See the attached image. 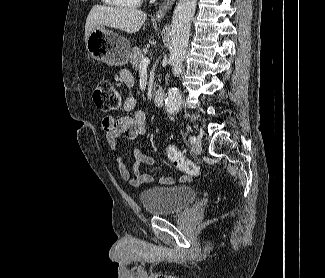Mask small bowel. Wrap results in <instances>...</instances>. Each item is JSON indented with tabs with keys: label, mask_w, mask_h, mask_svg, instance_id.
Returning a JSON list of instances; mask_svg holds the SVG:
<instances>
[{
	"label": "small bowel",
	"mask_w": 325,
	"mask_h": 278,
	"mask_svg": "<svg viewBox=\"0 0 325 278\" xmlns=\"http://www.w3.org/2000/svg\"><path fill=\"white\" fill-rule=\"evenodd\" d=\"M121 80L128 87L133 86V77L129 71L123 70L120 73ZM136 99L129 95L122 104L124 112L132 114L115 119L106 116L102 119V128L105 132L107 142L117 150L119 148V139L124 137L129 142H135L146 132L147 119L143 110H136ZM135 163L132 170H129L123 160L118 157V167L121 177L128 181L132 186L140 187L153 181V176L141 172L142 166H152L156 164V158L141 152L138 147H134ZM186 180V177H181ZM159 182L162 185L172 184V177H161Z\"/></svg>",
	"instance_id": "obj_1"
}]
</instances>
